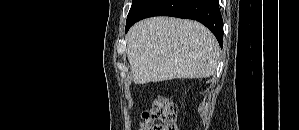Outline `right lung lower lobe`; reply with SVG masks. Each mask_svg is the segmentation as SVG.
Masks as SVG:
<instances>
[{
  "label": "right lung lower lobe",
  "mask_w": 299,
  "mask_h": 130,
  "mask_svg": "<svg viewBox=\"0 0 299 130\" xmlns=\"http://www.w3.org/2000/svg\"><path fill=\"white\" fill-rule=\"evenodd\" d=\"M151 16H173L193 19L204 24L223 46V20L218 0H147L126 25L125 31L137 21Z\"/></svg>",
  "instance_id": "1"
}]
</instances>
